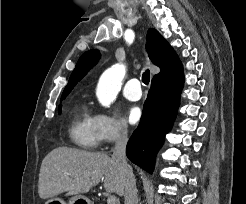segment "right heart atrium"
<instances>
[{
  "label": "right heart atrium",
  "instance_id": "1",
  "mask_svg": "<svg viewBox=\"0 0 246 204\" xmlns=\"http://www.w3.org/2000/svg\"><path fill=\"white\" fill-rule=\"evenodd\" d=\"M99 141L105 144L115 143L127 137L126 124L116 115L101 112L95 115Z\"/></svg>",
  "mask_w": 246,
  "mask_h": 204
}]
</instances>
